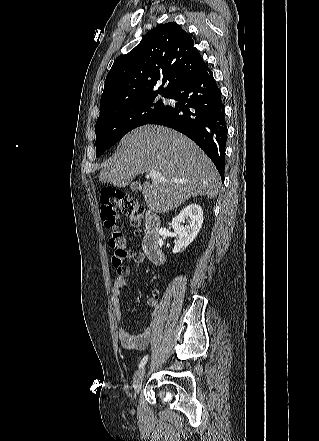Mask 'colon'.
<instances>
[{
    "label": "colon",
    "mask_w": 319,
    "mask_h": 441,
    "mask_svg": "<svg viewBox=\"0 0 319 441\" xmlns=\"http://www.w3.org/2000/svg\"><path fill=\"white\" fill-rule=\"evenodd\" d=\"M100 202L101 220L104 226L111 230L109 246L113 250L112 261L113 264L119 265L127 256L128 252L126 250V236L116 225L118 218L117 209L129 217L134 227H139L142 223V209L133 197L123 191L115 189L103 191L101 193Z\"/></svg>",
    "instance_id": "5ec220e1"
}]
</instances>
